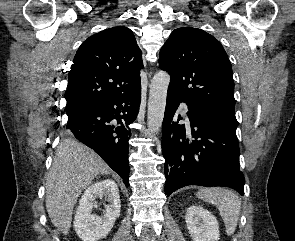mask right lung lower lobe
Masks as SVG:
<instances>
[{
  "label": "right lung lower lobe",
  "instance_id": "obj_1",
  "mask_svg": "<svg viewBox=\"0 0 295 241\" xmlns=\"http://www.w3.org/2000/svg\"><path fill=\"white\" fill-rule=\"evenodd\" d=\"M141 84L130 92L91 102L68 115V133L92 148L129 185V124L138 114Z\"/></svg>",
  "mask_w": 295,
  "mask_h": 241
}]
</instances>
